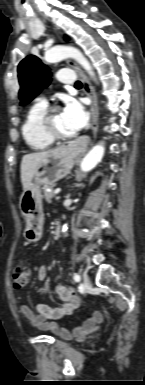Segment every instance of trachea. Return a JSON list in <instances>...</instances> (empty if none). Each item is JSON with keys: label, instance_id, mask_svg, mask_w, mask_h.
<instances>
[{"label": "trachea", "instance_id": "trachea-1", "mask_svg": "<svg viewBox=\"0 0 145 385\" xmlns=\"http://www.w3.org/2000/svg\"><path fill=\"white\" fill-rule=\"evenodd\" d=\"M75 87H82V83H81L80 81H77V82L75 83Z\"/></svg>", "mask_w": 145, "mask_h": 385}]
</instances>
